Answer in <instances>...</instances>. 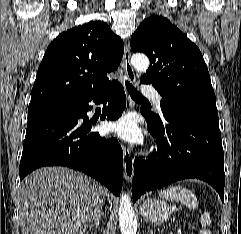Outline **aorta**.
<instances>
[{
  "label": "aorta",
  "instance_id": "obj_1",
  "mask_svg": "<svg viewBox=\"0 0 241 234\" xmlns=\"http://www.w3.org/2000/svg\"><path fill=\"white\" fill-rule=\"evenodd\" d=\"M131 63L138 72H146L149 67V59L143 54H134ZM119 225L121 234H136L137 219L128 193H122L119 205Z\"/></svg>",
  "mask_w": 241,
  "mask_h": 234
}]
</instances>
